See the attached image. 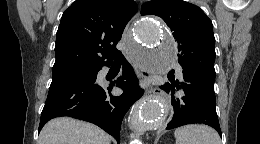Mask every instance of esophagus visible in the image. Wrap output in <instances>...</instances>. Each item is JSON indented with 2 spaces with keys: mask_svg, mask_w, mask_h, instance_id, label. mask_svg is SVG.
I'll return each instance as SVG.
<instances>
[{
  "mask_svg": "<svg viewBox=\"0 0 260 144\" xmlns=\"http://www.w3.org/2000/svg\"><path fill=\"white\" fill-rule=\"evenodd\" d=\"M129 28V25L127 26L126 30H128ZM136 69H137V72L138 74L144 78V79H149L151 74L148 70H146L145 68L141 67V66H138L136 65ZM149 94L151 95H158L160 93V89L157 87V86H150L149 87V91H148Z\"/></svg>",
  "mask_w": 260,
  "mask_h": 144,
  "instance_id": "esophagus-1",
  "label": "esophagus"
}]
</instances>
